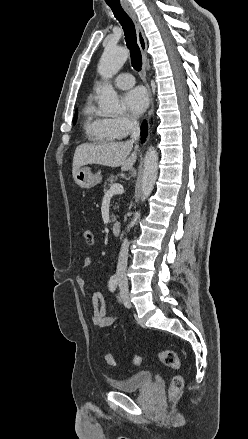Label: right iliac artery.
Instances as JSON below:
<instances>
[{"label": "right iliac artery", "mask_w": 248, "mask_h": 439, "mask_svg": "<svg viewBox=\"0 0 248 439\" xmlns=\"http://www.w3.org/2000/svg\"><path fill=\"white\" fill-rule=\"evenodd\" d=\"M117 284H118V279L117 277L114 275L110 278L109 280V290L111 292H114L117 288Z\"/></svg>", "instance_id": "82829eb1"}]
</instances>
